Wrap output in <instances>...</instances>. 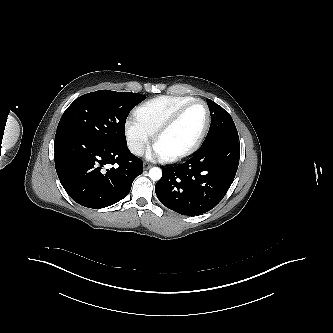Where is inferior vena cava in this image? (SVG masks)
Here are the masks:
<instances>
[{
	"label": "inferior vena cava",
	"mask_w": 333,
	"mask_h": 333,
	"mask_svg": "<svg viewBox=\"0 0 333 333\" xmlns=\"http://www.w3.org/2000/svg\"><path fill=\"white\" fill-rule=\"evenodd\" d=\"M130 151L135 155H142L144 153V145L140 142H131L129 143Z\"/></svg>",
	"instance_id": "inferior-vena-cava-1"
}]
</instances>
